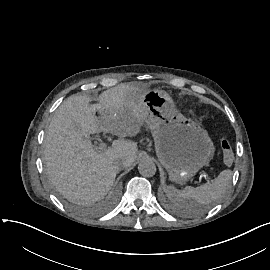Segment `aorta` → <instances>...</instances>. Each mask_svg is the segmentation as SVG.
<instances>
[{
  "mask_svg": "<svg viewBox=\"0 0 270 270\" xmlns=\"http://www.w3.org/2000/svg\"><path fill=\"white\" fill-rule=\"evenodd\" d=\"M138 170L144 177H153L156 173V165L150 159H144L139 163Z\"/></svg>",
  "mask_w": 270,
  "mask_h": 270,
  "instance_id": "1",
  "label": "aorta"
}]
</instances>
